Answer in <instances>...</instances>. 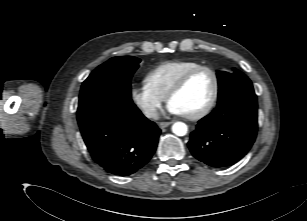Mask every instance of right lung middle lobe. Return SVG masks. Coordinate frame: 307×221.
<instances>
[{"instance_id": "obj_1", "label": "right lung middle lobe", "mask_w": 307, "mask_h": 221, "mask_svg": "<svg viewBox=\"0 0 307 221\" xmlns=\"http://www.w3.org/2000/svg\"><path fill=\"white\" fill-rule=\"evenodd\" d=\"M140 59L132 56L113 57L98 66L83 82L77 119L79 125L106 110L133 106L130 80Z\"/></svg>"}]
</instances>
